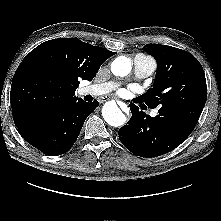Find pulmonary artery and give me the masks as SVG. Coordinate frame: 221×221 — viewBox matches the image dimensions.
<instances>
[{"instance_id": "1", "label": "pulmonary artery", "mask_w": 221, "mask_h": 221, "mask_svg": "<svg viewBox=\"0 0 221 221\" xmlns=\"http://www.w3.org/2000/svg\"><path fill=\"white\" fill-rule=\"evenodd\" d=\"M156 61L150 57L138 54L134 57L133 68L135 77L138 79H144L153 74L156 70ZM118 86L117 82L109 81L101 84L89 85L81 89L83 95H104L113 91ZM158 110L152 111L153 117L157 116Z\"/></svg>"}]
</instances>
